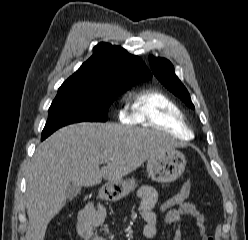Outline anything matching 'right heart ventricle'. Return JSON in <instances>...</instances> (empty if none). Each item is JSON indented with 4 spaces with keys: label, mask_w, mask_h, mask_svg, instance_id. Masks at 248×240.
<instances>
[{
    "label": "right heart ventricle",
    "mask_w": 248,
    "mask_h": 240,
    "mask_svg": "<svg viewBox=\"0 0 248 240\" xmlns=\"http://www.w3.org/2000/svg\"><path fill=\"white\" fill-rule=\"evenodd\" d=\"M130 124H140L168 133L175 139L193 137L180 106L158 90H142L130 99V112L126 117Z\"/></svg>",
    "instance_id": "obj_1"
}]
</instances>
